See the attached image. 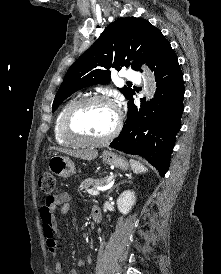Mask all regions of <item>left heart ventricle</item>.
Wrapping results in <instances>:
<instances>
[{
	"instance_id": "1",
	"label": "left heart ventricle",
	"mask_w": 221,
	"mask_h": 274,
	"mask_svg": "<svg viewBox=\"0 0 221 274\" xmlns=\"http://www.w3.org/2000/svg\"><path fill=\"white\" fill-rule=\"evenodd\" d=\"M116 121L114 109L106 104H91L80 109L73 118L74 129L90 138L107 135Z\"/></svg>"
}]
</instances>
